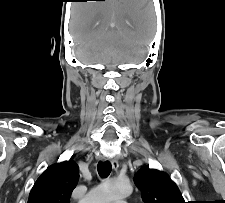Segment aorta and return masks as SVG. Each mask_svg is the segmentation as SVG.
Wrapping results in <instances>:
<instances>
[{"mask_svg":"<svg viewBox=\"0 0 225 203\" xmlns=\"http://www.w3.org/2000/svg\"><path fill=\"white\" fill-rule=\"evenodd\" d=\"M131 192L132 187L128 182L109 179L91 189L81 203H113Z\"/></svg>","mask_w":225,"mask_h":203,"instance_id":"762f6f07","label":"aorta"}]
</instances>
